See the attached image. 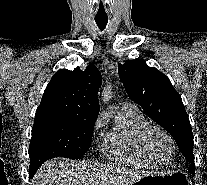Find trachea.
<instances>
[{"label":"trachea","instance_id":"1","mask_svg":"<svg viewBox=\"0 0 207 185\" xmlns=\"http://www.w3.org/2000/svg\"><path fill=\"white\" fill-rule=\"evenodd\" d=\"M95 22L98 25V27L100 28V30H104V28L107 25L108 18H106V17L95 18Z\"/></svg>","mask_w":207,"mask_h":185}]
</instances>
